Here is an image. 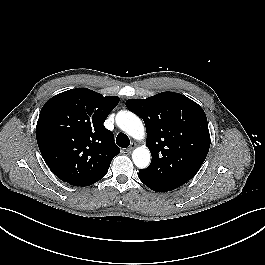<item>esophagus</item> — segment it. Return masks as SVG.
Wrapping results in <instances>:
<instances>
[{
  "instance_id": "1",
  "label": "esophagus",
  "mask_w": 265,
  "mask_h": 265,
  "mask_svg": "<svg viewBox=\"0 0 265 265\" xmlns=\"http://www.w3.org/2000/svg\"><path fill=\"white\" fill-rule=\"evenodd\" d=\"M136 147V143L135 142H132L130 144V147L127 148V153H131L133 151V149Z\"/></svg>"
}]
</instances>
